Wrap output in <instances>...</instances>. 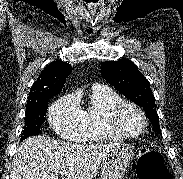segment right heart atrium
Returning <instances> with one entry per match:
<instances>
[{"label":"right heart atrium","instance_id":"right-heart-atrium-1","mask_svg":"<svg viewBox=\"0 0 183 179\" xmlns=\"http://www.w3.org/2000/svg\"><path fill=\"white\" fill-rule=\"evenodd\" d=\"M50 123L56 133L64 139L76 141L82 138L85 125L76 95L67 94L51 106Z\"/></svg>","mask_w":183,"mask_h":179}]
</instances>
